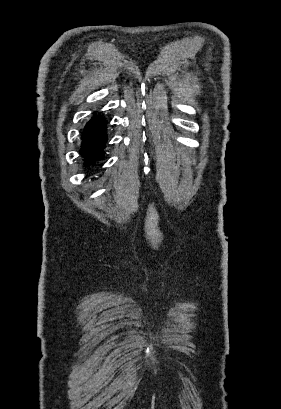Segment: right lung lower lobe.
Here are the masks:
<instances>
[{"mask_svg": "<svg viewBox=\"0 0 281 409\" xmlns=\"http://www.w3.org/2000/svg\"><path fill=\"white\" fill-rule=\"evenodd\" d=\"M106 124L107 120L102 115L94 114L82 130L80 151L86 163L103 158L107 143Z\"/></svg>", "mask_w": 281, "mask_h": 409, "instance_id": "obj_1", "label": "right lung lower lobe"}]
</instances>
